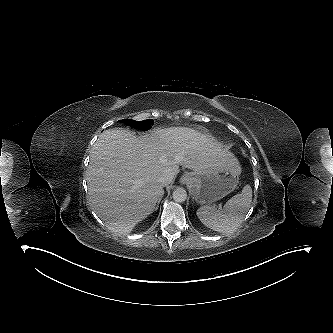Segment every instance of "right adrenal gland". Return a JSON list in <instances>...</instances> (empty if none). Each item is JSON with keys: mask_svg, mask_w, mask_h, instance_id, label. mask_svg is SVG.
Masks as SVG:
<instances>
[{"mask_svg": "<svg viewBox=\"0 0 333 333\" xmlns=\"http://www.w3.org/2000/svg\"><path fill=\"white\" fill-rule=\"evenodd\" d=\"M159 203H160V200L158 201L157 206L155 207V210L158 209V205H159Z\"/></svg>", "mask_w": 333, "mask_h": 333, "instance_id": "obj_1", "label": "right adrenal gland"}]
</instances>
